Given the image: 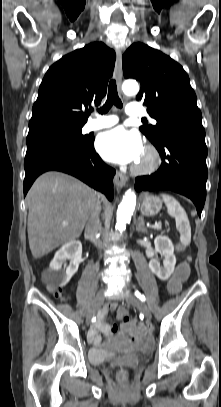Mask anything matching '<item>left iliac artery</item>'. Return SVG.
Instances as JSON below:
<instances>
[{"label":"left iliac artery","mask_w":221,"mask_h":407,"mask_svg":"<svg viewBox=\"0 0 221 407\" xmlns=\"http://www.w3.org/2000/svg\"><path fill=\"white\" fill-rule=\"evenodd\" d=\"M135 295L142 301H145V296L143 294H141L140 292L136 291Z\"/></svg>","instance_id":"obj_1"}]
</instances>
